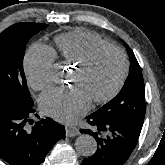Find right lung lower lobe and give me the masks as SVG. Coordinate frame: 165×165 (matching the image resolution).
<instances>
[{
    "label": "right lung lower lobe",
    "instance_id": "right-lung-lower-lobe-1",
    "mask_svg": "<svg viewBox=\"0 0 165 165\" xmlns=\"http://www.w3.org/2000/svg\"><path fill=\"white\" fill-rule=\"evenodd\" d=\"M34 112L33 104L0 99V157L10 165H40L65 137V128L51 118L33 124ZM28 122L33 124L31 129Z\"/></svg>",
    "mask_w": 165,
    "mask_h": 165
}]
</instances>
